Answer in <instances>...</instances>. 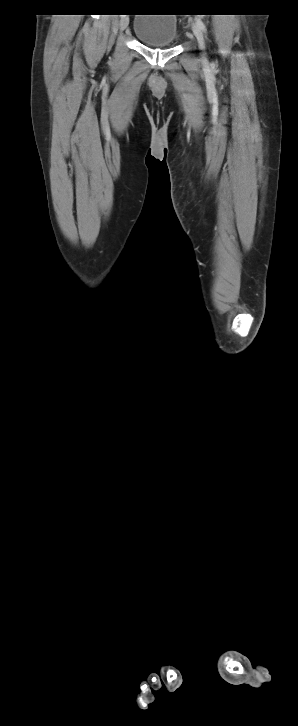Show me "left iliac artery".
I'll return each mask as SVG.
<instances>
[{"instance_id": "obj_1", "label": "left iliac artery", "mask_w": 298, "mask_h": 726, "mask_svg": "<svg viewBox=\"0 0 298 726\" xmlns=\"http://www.w3.org/2000/svg\"><path fill=\"white\" fill-rule=\"evenodd\" d=\"M195 20H196V24H197V25L199 26V28H200V29H201V30H202L203 32H206V31H207V29H206V26H205L204 22H203V21H202V20H201L200 18H196Z\"/></svg>"}]
</instances>
